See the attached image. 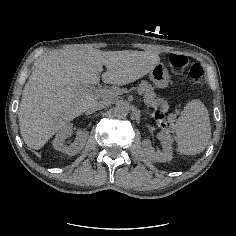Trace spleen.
Listing matches in <instances>:
<instances>
[{
  "mask_svg": "<svg viewBox=\"0 0 236 236\" xmlns=\"http://www.w3.org/2000/svg\"><path fill=\"white\" fill-rule=\"evenodd\" d=\"M177 149L184 155L201 153L211 138L208 110L200 100H191L175 126Z\"/></svg>",
  "mask_w": 236,
  "mask_h": 236,
  "instance_id": "spleen-1",
  "label": "spleen"
}]
</instances>
